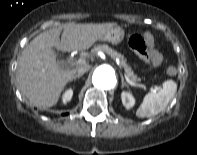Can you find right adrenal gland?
I'll use <instances>...</instances> for the list:
<instances>
[{
	"instance_id": "right-adrenal-gland-1",
	"label": "right adrenal gland",
	"mask_w": 197,
	"mask_h": 155,
	"mask_svg": "<svg viewBox=\"0 0 197 155\" xmlns=\"http://www.w3.org/2000/svg\"><path fill=\"white\" fill-rule=\"evenodd\" d=\"M81 77H82V75H75V76L73 77V79H71V81L76 80L77 78L80 79Z\"/></svg>"
}]
</instances>
